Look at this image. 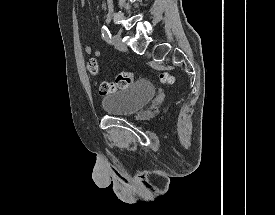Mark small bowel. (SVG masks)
Listing matches in <instances>:
<instances>
[{"label":"small bowel","mask_w":275,"mask_h":215,"mask_svg":"<svg viewBox=\"0 0 275 215\" xmlns=\"http://www.w3.org/2000/svg\"><path fill=\"white\" fill-rule=\"evenodd\" d=\"M82 50L86 54H91L93 53L95 57L100 56V51L99 50H93L92 46L90 44H84L82 47Z\"/></svg>","instance_id":"c3829d8e"}]
</instances>
